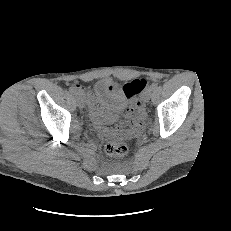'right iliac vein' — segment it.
<instances>
[{
	"label": "right iliac vein",
	"mask_w": 231,
	"mask_h": 231,
	"mask_svg": "<svg viewBox=\"0 0 231 231\" xmlns=\"http://www.w3.org/2000/svg\"><path fill=\"white\" fill-rule=\"evenodd\" d=\"M74 96H75L77 105L79 107H83L84 106V96H83V93L81 91H76L74 93Z\"/></svg>",
	"instance_id": "obj_1"
}]
</instances>
